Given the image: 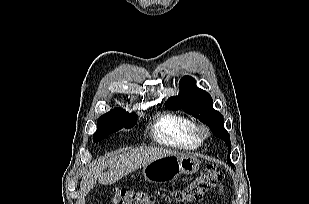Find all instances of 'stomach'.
<instances>
[{
	"label": "stomach",
	"mask_w": 309,
	"mask_h": 204,
	"mask_svg": "<svg viewBox=\"0 0 309 204\" xmlns=\"http://www.w3.org/2000/svg\"><path fill=\"white\" fill-rule=\"evenodd\" d=\"M200 161L190 155H169L150 162L143 168L144 179L159 183L175 180L181 174L198 171Z\"/></svg>",
	"instance_id": "0dacf381"
}]
</instances>
